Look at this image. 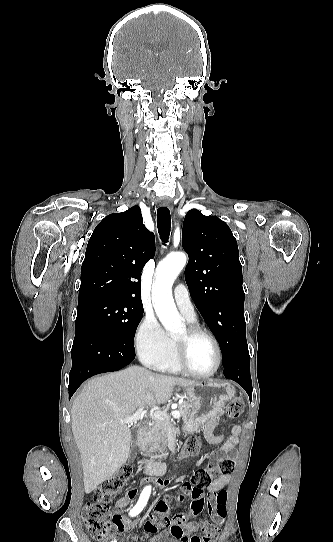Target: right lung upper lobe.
Masks as SVG:
<instances>
[{"label": "right lung upper lobe", "instance_id": "obj_1", "mask_svg": "<svg viewBox=\"0 0 333 542\" xmlns=\"http://www.w3.org/2000/svg\"><path fill=\"white\" fill-rule=\"evenodd\" d=\"M154 254L155 237L143 224L139 206L106 216L87 245L78 304L102 297L142 305L140 276Z\"/></svg>", "mask_w": 333, "mask_h": 542}]
</instances>
